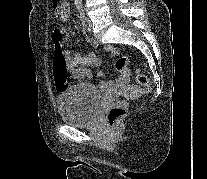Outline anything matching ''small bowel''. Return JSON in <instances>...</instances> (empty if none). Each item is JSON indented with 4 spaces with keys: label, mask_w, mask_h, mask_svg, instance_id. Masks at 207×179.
Masks as SVG:
<instances>
[{
    "label": "small bowel",
    "mask_w": 207,
    "mask_h": 179,
    "mask_svg": "<svg viewBox=\"0 0 207 179\" xmlns=\"http://www.w3.org/2000/svg\"><path fill=\"white\" fill-rule=\"evenodd\" d=\"M69 15H70V10L68 5V10L62 16L59 17V20L61 22H66L69 19ZM55 31H59L62 36H67L66 30L63 28L56 29L54 30V32ZM105 50L110 53L112 59L116 58L120 54L117 48L111 46H106ZM64 55L66 57L70 73L75 79L91 78L92 74L88 68L91 66H99L101 63L98 57L93 52L77 53L75 55H71L69 51H64ZM103 76L104 73L102 71H99L97 73V77L103 78ZM129 79H130V75H124L121 73L118 83L115 81L101 82L99 84V89L104 92L111 91L117 86H123L126 83H128ZM57 86L59 88H63L58 83Z\"/></svg>",
    "instance_id": "c3829d8e"
}]
</instances>
